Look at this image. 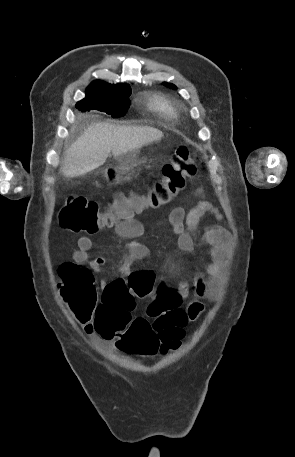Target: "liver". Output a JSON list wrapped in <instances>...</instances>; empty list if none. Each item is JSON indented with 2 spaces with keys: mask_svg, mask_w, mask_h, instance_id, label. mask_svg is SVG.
Instances as JSON below:
<instances>
[{
  "mask_svg": "<svg viewBox=\"0 0 295 457\" xmlns=\"http://www.w3.org/2000/svg\"><path fill=\"white\" fill-rule=\"evenodd\" d=\"M162 137L153 127L93 123L66 151L61 172L65 177L82 176L103 165L110 152L118 158Z\"/></svg>",
  "mask_w": 295,
  "mask_h": 457,
  "instance_id": "liver-1",
  "label": "liver"
}]
</instances>
